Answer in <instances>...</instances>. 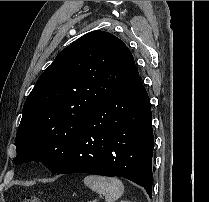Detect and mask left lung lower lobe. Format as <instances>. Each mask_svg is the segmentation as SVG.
<instances>
[{
    "label": "left lung lower lobe",
    "instance_id": "obj_1",
    "mask_svg": "<svg viewBox=\"0 0 209 202\" xmlns=\"http://www.w3.org/2000/svg\"><path fill=\"white\" fill-rule=\"evenodd\" d=\"M153 148L150 99L137 78L85 117L70 156L56 174L124 177L151 197Z\"/></svg>",
    "mask_w": 209,
    "mask_h": 202
}]
</instances>
